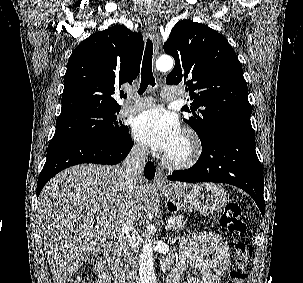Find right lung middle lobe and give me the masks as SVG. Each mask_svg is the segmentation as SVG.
<instances>
[{"label": "right lung middle lobe", "mask_w": 303, "mask_h": 283, "mask_svg": "<svg viewBox=\"0 0 303 283\" xmlns=\"http://www.w3.org/2000/svg\"><path fill=\"white\" fill-rule=\"evenodd\" d=\"M118 112L86 110L59 116L52 140L66 137L118 140L128 133V127L120 126L119 122L116 121L115 114Z\"/></svg>", "instance_id": "right-lung-middle-lobe-1"}]
</instances>
